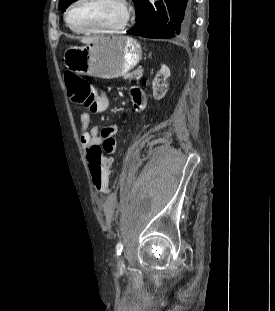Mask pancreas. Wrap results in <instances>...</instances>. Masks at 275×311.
Instances as JSON below:
<instances>
[{
    "instance_id": "obj_1",
    "label": "pancreas",
    "mask_w": 275,
    "mask_h": 311,
    "mask_svg": "<svg viewBox=\"0 0 275 311\" xmlns=\"http://www.w3.org/2000/svg\"><path fill=\"white\" fill-rule=\"evenodd\" d=\"M143 74L142 69H137L133 71L132 73H127L124 75V79L133 80V79H139Z\"/></svg>"
}]
</instances>
